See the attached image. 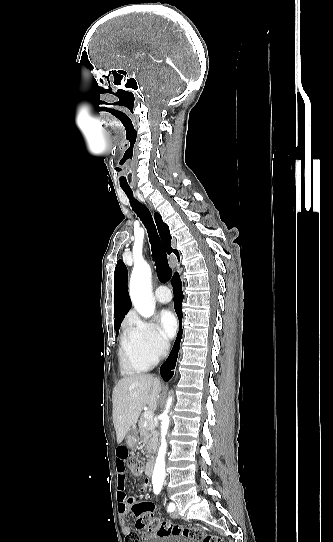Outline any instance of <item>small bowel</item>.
<instances>
[{
  "label": "small bowel",
  "mask_w": 333,
  "mask_h": 542,
  "mask_svg": "<svg viewBox=\"0 0 333 542\" xmlns=\"http://www.w3.org/2000/svg\"><path fill=\"white\" fill-rule=\"evenodd\" d=\"M128 457V449L125 445H119L117 448V461H116V471H117V510L120 515L121 522L123 523L122 532L126 537V542H128L129 536L134 532L133 528L130 525L125 524L126 516L131 510L129 503V494L127 490V478H126V459ZM149 477L143 476L142 483L144 487L148 486ZM140 494L145 492L143 487L138 489Z\"/></svg>",
  "instance_id": "c3829d8e"
}]
</instances>
